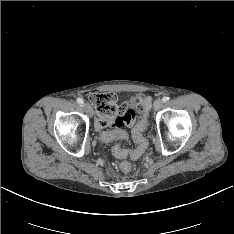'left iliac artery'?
<instances>
[{
  "label": "left iliac artery",
  "mask_w": 234,
  "mask_h": 234,
  "mask_svg": "<svg viewBox=\"0 0 234 234\" xmlns=\"http://www.w3.org/2000/svg\"><path fill=\"white\" fill-rule=\"evenodd\" d=\"M168 100H169V97H167V96H165V97L162 98L163 102H167Z\"/></svg>",
  "instance_id": "1"
}]
</instances>
